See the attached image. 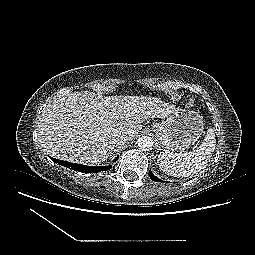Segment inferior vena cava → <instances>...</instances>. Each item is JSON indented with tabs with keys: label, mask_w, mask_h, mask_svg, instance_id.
<instances>
[{
	"label": "inferior vena cava",
	"mask_w": 255,
	"mask_h": 255,
	"mask_svg": "<svg viewBox=\"0 0 255 255\" xmlns=\"http://www.w3.org/2000/svg\"><path fill=\"white\" fill-rule=\"evenodd\" d=\"M128 140H129V137L125 134H118L115 138L116 143L120 145L126 143Z\"/></svg>",
	"instance_id": "obj_1"
}]
</instances>
